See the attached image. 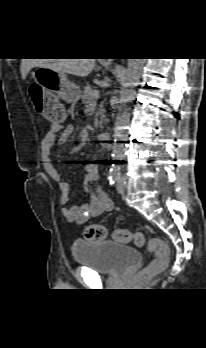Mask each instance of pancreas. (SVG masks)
I'll list each match as a JSON object with an SVG mask.
<instances>
[{"instance_id": "cf45deb5", "label": "pancreas", "mask_w": 206, "mask_h": 348, "mask_svg": "<svg viewBox=\"0 0 206 348\" xmlns=\"http://www.w3.org/2000/svg\"><path fill=\"white\" fill-rule=\"evenodd\" d=\"M92 91L93 89L88 84L84 87L81 98L83 103L86 106H88L90 103L96 102V99L91 97ZM105 121H106L105 109L103 108V105H100L99 108L96 110L94 127L103 128V123Z\"/></svg>"}]
</instances>
